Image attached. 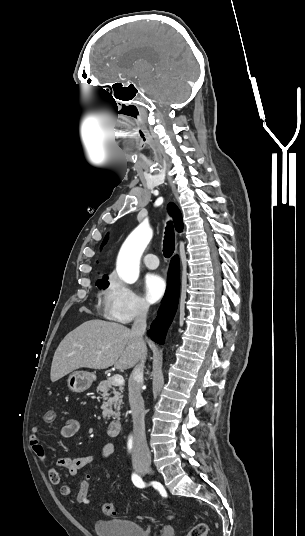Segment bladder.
I'll return each mask as SVG.
<instances>
[{"label": "bladder", "mask_w": 305, "mask_h": 536, "mask_svg": "<svg viewBox=\"0 0 305 536\" xmlns=\"http://www.w3.org/2000/svg\"><path fill=\"white\" fill-rule=\"evenodd\" d=\"M93 531L96 536H152L137 521L126 518L97 519Z\"/></svg>", "instance_id": "bladder-1"}]
</instances>
